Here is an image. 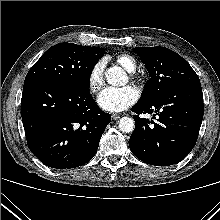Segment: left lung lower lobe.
I'll return each instance as SVG.
<instances>
[{
    "label": "left lung lower lobe",
    "mask_w": 220,
    "mask_h": 220,
    "mask_svg": "<svg viewBox=\"0 0 220 220\" xmlns=\"http://www.w3.org/2000/svg\"><path fill=\"white\" fill-rule=\"evenodd\" d=\"M131 110L155 113V121L134 115L135 129L129 139L132 153L147 164H176L198 138L204 111L201 83L181 85L149 103H136Z\"/></svg>",
    "instance_id": "1"
}]
</instances>
